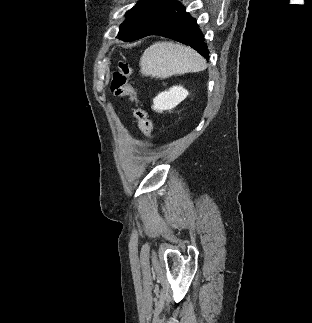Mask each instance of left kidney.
I'll return each instance as SVG.
<instances>
[{
    "label": "left kidney",
    "mask_w": 312,
    "mask_h": 323,
    "mask_svg": "<svg viewBox=\"0 0 312 323\" xmlns=\"http://www.w3.org/2000/svg\"><path fill=\"white\" fill-rule=\"evenodd\" d=\"M188 92L184 90L182 86H173L168 92H161L156 98H154L153 110L157 112H162V110H172L176 108L180 102H183L187 98Z\"/></svg>",
    "instance_id": "1"
}]
</instances>
